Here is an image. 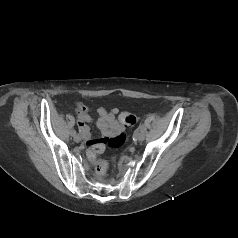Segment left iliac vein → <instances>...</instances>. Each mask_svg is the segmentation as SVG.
<instances>
[{"label":"left iliac vein","mask_w":238,"mask_h":238,"mask_svg":"<svg viewBox=\"0 0 238 238\" xmlns=\"http://www.w3.org/2000/svg\"><path fill=\"white\" fill-rule=\"evenodd\" d=\"M144 138H145V135L142 134L141 131L136 134V140H138V141H143Z\"/></svg>","instance_id":"1"}]
</instances>
